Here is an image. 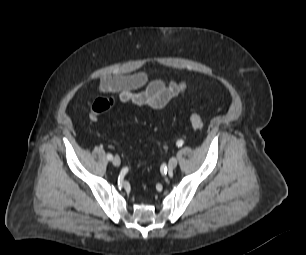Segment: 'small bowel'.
Returning <instances> with one entry per match:
<instances>
[{
  "mask_svg": "<svg viewBox=\"0 0 306 255\" xmlns=\"http://www.w3.org/2000/svg\"><path fill=\"white\" fill-rule=\"evenodd\" d=\"M144 86V90L137 91ZM97 92L117 93L123 104L133 103L141 108L162 109L174 98L186 94V83L163 79L148 81L147 73L140 71L131 75L104 76L99 81Z\"/></svg>",
  "mask_w": 306,
  "mask_h": 255,
  "instance_id": "small-bowel-1",
  "label": "small bowel"
}]
</instances>
